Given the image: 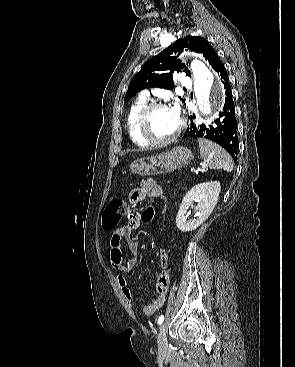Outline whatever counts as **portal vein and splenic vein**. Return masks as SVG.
Wrapping results in <instances>:
<instances>
[{"label":"portal vein and splenic vein","mask_w":295,"mask_h":367,"mask_svg":"<svg viewBox=\"0 0 295 367\" xmlns=\"http://www.w3.org/2000/svg\"><path fill=\"white\" fill-rule=\"evenodd\" d=\"M191 171L193 172V173H197L198 172V170L197 169H195L194 167L193 168H191Z\"/></svg>","instance_id":"portal-vein-and-splenic-vein-1"}]
</instances>
